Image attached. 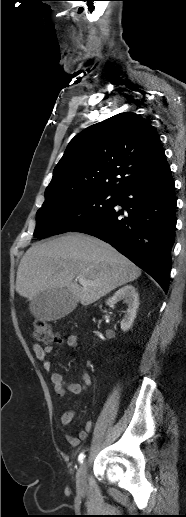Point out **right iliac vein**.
<instances>
[{"label": "right iliac vein", "instance_id": "1", "mask_svg": "<svg viewBox=\"0 0 186 517\" xmlns=\"http://www.w3.org/2000/svg\"><path fill=\"white\" fill-rule=\"evenodd\" d=\"M86 462L82 463L77 473V489L80 492H83L86 488Z\"/></svg>", "mask_w": 186, "mask_h": 517}]
</instances>
